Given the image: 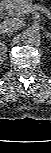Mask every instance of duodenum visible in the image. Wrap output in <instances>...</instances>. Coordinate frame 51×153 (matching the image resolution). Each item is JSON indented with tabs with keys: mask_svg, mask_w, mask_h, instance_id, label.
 <instances>
[{
	"mask_svg": "<svg viewBox=\"0 0 51 153\" xmlns=\"http://www.w3.org/2000/svg\"><path fill=\"white\" fill-rule=\"evenodd\" d=\"M9 4H10L9 0L3 1V3L0 6V16L5 15V13L7 12L8 8H9Z\"/></svg>",
	"mask_w": 51,
	"mask_h": 153,
	"instance_id": "1",
	"label": "duodenum"
}]
</instances>
